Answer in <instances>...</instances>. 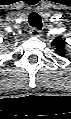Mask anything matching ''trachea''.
I'll return each mask as SVG.
<instances>
[{
    "label": "trachea",
    "mask_w": 71,
    "mask_h": 119,
    "mask_svg": "<svg viewBox=\"0 0 71 119\" xmlns=\"http://www.w3.org/2000/svg\"><path fill=\"white\" fill-rule=\"evenodd\" d=\"M28 21L32 27H34L36 29L42 28V21H41V17L39 14H37L35 12L30 13L28 16Z\"/></svg>",
    "instance_id": "3493384b"
}]
</instances>
